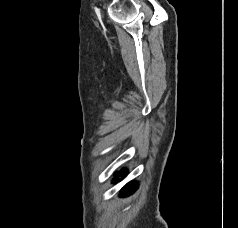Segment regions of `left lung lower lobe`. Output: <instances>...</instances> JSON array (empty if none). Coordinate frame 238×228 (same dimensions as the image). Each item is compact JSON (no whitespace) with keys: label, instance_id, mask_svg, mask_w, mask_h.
Listing matches in <instances>:
<instances>
[{"label":"left lung lower lobe","instance_id":"0a47b994","mask_svg":"<svg viewBox=\"0 0 238 228\" xmlns=\"http://www.w3.org/2000/svg\"><path fill=\"white\" fill-rule=\"evenodd\" d=\"M126 173H127L126 170H122V171L117 173V176H125ZM136 188H137L136 183L127 184L122 190V196H127V195L133 193Z\"/></svg>","mask_w":238,"mask_h":228}]
</instances>
